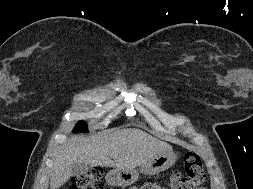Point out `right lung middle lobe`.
Returning a JSON list of instances; mask_svg holds the SVG:
<instances>
[{
	"mask_svg": "<svg viewBox=\"0 0 253 189\" xmlns=\"http://www.w3.org/2000/svg\"><path fill=\"white\" fill-rule=\"evenodd\" d=\"M87 131V125L84 121H80L76 124L75 128L73 129V132H86Z\"/></svg>",
	"mask_w": 253,
	"mask_h": 189,
	"instance_id": "1",
	"label": "right lung middle lobe"
}]
</instances>
